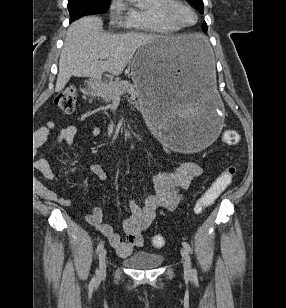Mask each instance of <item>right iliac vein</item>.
I'll use <instances>...</instances> for the list:
<instances>
[{"instance_id":"1","label":"right iliac vein","mask_w":286,"mask_h":308,"mask_svg":"<svg viewBox=\"0 0 286 308\" xmlns=\"http://www.w3.org/2000/svg\"><path fill=\"white\" fill-rule=\"evenodd\" d=\"M106 255H107L106 249H102L99 254V264L97 271L98 278H102L106 274Z\"/></svg>"}]
</instances>
